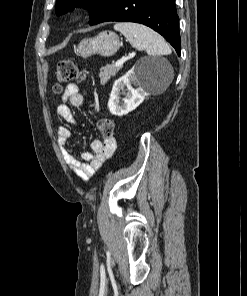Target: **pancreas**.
<instances>
[{"mask_svg":"<svg viewBox=\"0 0 247 296\" xmlns=\"http://www.w3.org/2000/svg\"><path fill=\"white\" fill-rule=\"evenodd\" d=\"M122 68V66H115V65H106L100 69L99 77L101 85H105L108 80L116 75L118 71Z\"/></svg>","mask_w":247,"mask_h":296,"instance_id":"cf45deb5","label":"pancreas"}]
</instances>
